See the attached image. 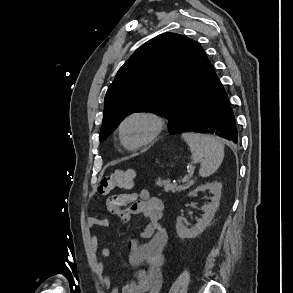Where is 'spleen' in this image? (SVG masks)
<instances>
[{"label":"spleen","mask_w":293,"mask_h":293,"mask_svg":"<svg viewBox=\"0 0 293 293\" xmlns=\"http://www.w3.org/2000/svg\"><path fill=\"white\" fill-rule=\"evenodd\" d=\"M182 138L188 144L192 153V160L199 162V174L207 177L213 174L221 165L224 158V145L222 142L207 134L185 132Z\"/></svg>","instance_id":"1"}]
</instances>
